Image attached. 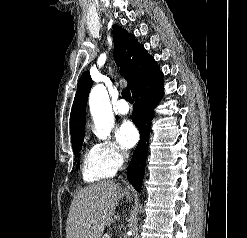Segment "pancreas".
<instances>
[{
  "label": "pancreas",
  "mask_w": 247,
  "mask_h": 238,
  "mask_svg": "<svg viewBox=\"0 0 247 238\" xmlns=\"http://www.w3.org/2000/svg\"><path fill=\"white\" fill-rule=\"evenodd\" d=\"M102 238H109V236L108 235H104Z\"/></svg>",
  "instance_id": "pancreas-1"
}]
</instances>
